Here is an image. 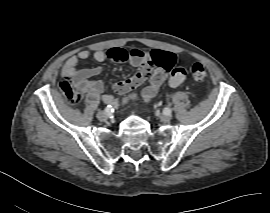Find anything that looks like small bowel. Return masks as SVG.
I'll use <instances>...</instances> for the list:
<instances>
[{
	"instance_id": "c3829d8e",
	"label": "small bowel",
	"mask_w": 270,
	"mask_h": 213,
	"mask_svg": "<svg viewBox=\"0 0 270 213\" xmlns=\"http://www.w3.org/2000/svg\"><path fill=\"white\" fill-rule=\"evenodd\" d=\"M115 49L120 48H111L109 50H96L93 53V58L98 62H103L106 59L113 60L111 57L112 52ZM166 52V51H162ZM170 53L173 56L174 64L176 63V56L175 54L171 52ZM90 57V52L87 50H83L79 52L77 56H71L67 59L65 62L62 72L64 76L67 78L69 82L67 84L69 87L74 91L76 95H78L81 99L85 96L91 95L93 93H98L102 90V83L99 80H91L90 78L94 75H96L99 72V68H89V69H83L78 70L77 65L78 61L80 60H87ZM128 64L135 68H141L148 64V58L147 55H138V56H131L128 59ZM146 77H141L139 74V71L135 73L130 78L118 82L115 84L114 88L115 90L120 94H125L137 86H139ZM165 80V74L157 69L152 70L151 74L149 75V83L146 85L142 90V97L145 100L152 99L156 93L158 92L160 86L162 85L163 81ZM134 96H131L130 98H123L122 103H127L129 100L133 99ZM103 101L106 104H110L112 106H117L119 103V100L111 95H104Z\"/></svg>"
}]
</instances>
